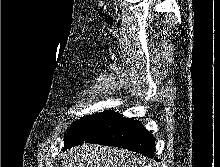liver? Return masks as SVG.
<instances>
[{"label":"liver","instance_id":"liver-1","mask_svg":"<svg viewBox=\"0 0 220 167\" xmlns=\"http://www.w3.org/2000/svg\"><path fill=\"white\" fill-rule=\"evenodd\" d=\"M62 167H149L141 155L115 147L83 143L67 151Z\"/></svg>","mask_w":220,"mask_h":167}]
</instances>
